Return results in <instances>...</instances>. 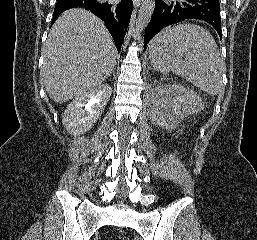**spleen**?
I'll return each mask as SVG.
<instances>
[{
    "label": "spleen",
    "mask_w": 257,
    "mask_h": 240,
    "mask_svg": "<svg viewBox=\"0 0 257 240\" xmlns=\"http://www.w3.org/2000/svg\"><path fill=\"white\" fill-rule=\"evenodd\" d=\"M149 57L160 73L172 71L210 95L223 90L224 61L214 38L201 26L180 24L163 29L150 43Z\"/></svg>",
    "instance_id": "3e777b00"
}]
</instances>
